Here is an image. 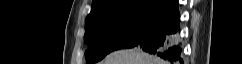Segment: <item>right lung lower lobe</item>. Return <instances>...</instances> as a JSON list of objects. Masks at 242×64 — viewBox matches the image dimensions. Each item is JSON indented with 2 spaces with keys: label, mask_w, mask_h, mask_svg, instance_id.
Returning <instances> with one entry per match:
<instances>
[{
  "label": "right lung lower lobe",
  "mask_w": 242,
  "mask_h": 64,
  "mask_svg": "<svg viewBox=\"0 0 242 64\" xmlns=\"http://www.w3.org/2000/svg\"><path fill=\"white\" fill-rule=\"evenodd\" d=\"M179 33L180 13L177 2L137 46L170 64H183V50L179 42Z\"/></svg>",
  "instance_id": "obj_1"
}]
</instances>
